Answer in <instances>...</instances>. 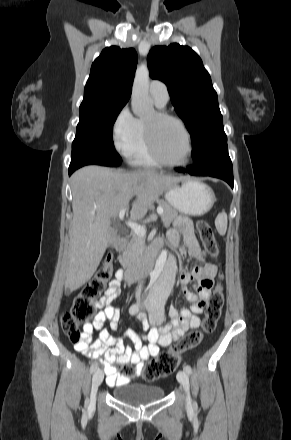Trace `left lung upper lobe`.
Listing matches in <instances>:
<instances>
[{
	"mask_svg": "<svg viewBox=\"0 0 291 440\" xmlns=\"http://www.w3.org/2000/svg\"><path fill=\"white\" fill-rule=\"evenodd\" d=\"M152 79L164 82L171 102L191 134L194 162L227 143L223 118L209 73L188 46H155L148 55Z\"/></svg>",
	"mask_w": 291,
	"mask_h": 440,
	"instance_id": "5c2ea615",
	"label": "left lung upper lobe"
}]
</instances>
